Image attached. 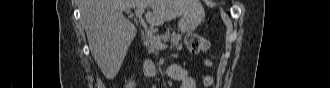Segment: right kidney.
<instances>
[{"label":"right kidney","mask_w":330,"mask_h":88,"mask_svg":"<svg viewBox=\"0 0 330 88\" xmlns=\"http://www.w3.org/2000/svg\"><path fill=\"white\" fill-rule=\"evenodd\" d=\"M125 88H135V82L133 80H129V82H127Z\"/></svg>","instance_id":"obj_1"}]
</instances>
